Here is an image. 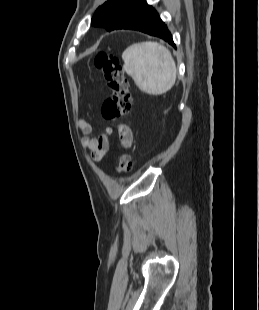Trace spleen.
<instances>
[{"instance_id": "obj_1", "label": "spleen", "mask_w": 259, "mask_h": 310, "mask_svg": "<svg viewBox=\"0 0 259 310\" xmlns=\"http://www.w3.org/2000/svg\"><path fill=\"white\" fill-rule=\"evenodd\" d=\"M122 59L124 71L144 93L161 95L175 84V61L171 52L157 42L134 43L125 49Z\"/></svg>"}]
</instances>
